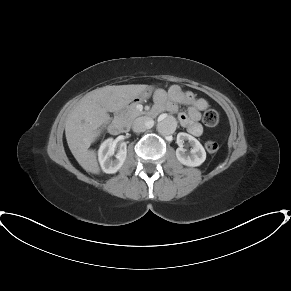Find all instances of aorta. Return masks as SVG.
Masks as SVG:
<instances>
[{
	"label": "aorta",
	"mask_w": 291,
	"mask_h": 291,
	"mask_svg": "<svg viewBox=\"0 0 291 291\" xmlns=\"http://www.w3.org/2000/svg\"><path fill=\"white\" fill-rule=\"evenodd\" d=\"M177 127L176 119L171 115H161L158 118L157 131L161 135L173 134Z\"/></svg>",
	"instance_id": "1"
}]
</instances>
